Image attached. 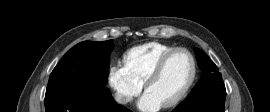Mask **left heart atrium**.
Wrapping results in <instances>:
<instances>
[{
  "instance_id": "39dd6f15",
  "label": "left heart atrium",
  "mask_w": 270,
  "mask_h": 112,
  "mask_svg": "<svg viewBox=\"0 0 270 112\" xmlns=\"http://www.w3.org/2000/svg\"><path fill=\"white\" fill-rule=\"evenodd\" d=\"M137 106L144 112H156L162 108L163 104L152 94L146 92L137 103Z\"/></svg>"
}]
</instances>
